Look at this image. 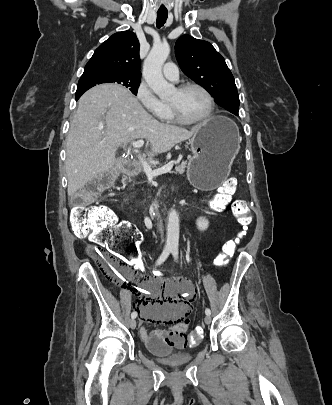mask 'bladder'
<instances>
[{
  "mask_svg": "<svg viewBox=\"0 0 332 405\" xmlns=\"http://www.w3.org/2000/svg\"><path fill=\"white\" fill-rule=\"evenodd\" d=\"M146 349L149 353L156 356L160 362L170 365H183L190 362L194 357L192 353L177 351L169 346L164 347L162 353H158L152 347L147 345Z\"/></svg>",
  "mask_w": 332,
  "mask_h": 405,
  "instance_id": "obj_1",
  "label": "bladder"
}]
</instances>
